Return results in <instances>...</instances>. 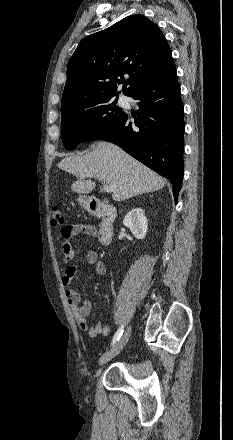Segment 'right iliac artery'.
<instances>
[{
	"mask_svg": "<svg viewBox=\"0 0 233 440\" xmlns=\"http://www.w3.org/2000/svg\"><path fill=\"white\" fill-rule=\"evenodd\" d=\"M124 332V326L121 325V327L117 330V332L115 333L113 340H112V346H114L116 344L117 341H119L120 337L122 336Z\"/></svg>",
	"mask_w": 233,
	"mask_h": 440,
	"instance_id": "right-iliac-artery-1",
	"label": "right iliac artery"
}]
</instances>
